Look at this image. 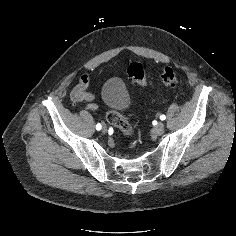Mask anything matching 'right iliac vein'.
Segmentation results:
<instances>
[{
    "mask_svg": "<svg viewBox=\"0 0 236 236\" xmlns=\"http://www.w3.org/2000/svg\"><path fill=\"white\" fill-rule=\"evenodd\" d=\"M107 127L105 126V125H103V127H102V133H104V134H106L107 133Z\"/></svg>",
    "mask_w": 236,
    "mask_h": 236,
    "instance_id": "right-iliac-vein-1",
    "label": "right iliac vein"
}]
</instances>
